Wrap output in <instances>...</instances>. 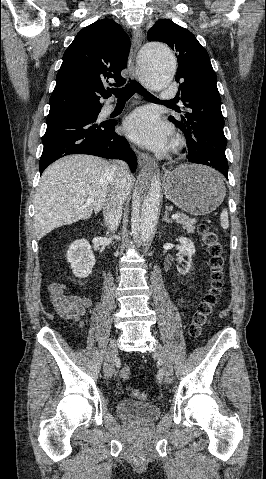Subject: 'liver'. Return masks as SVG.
<instances>
[{
	"mask_svg": "<svg viewBox=\"0 0 266 479\" xmlns=\"http://www.w3.org/2000/svg\"><path fill=\"white\" fill-rule=\"evenodd\" d=\"M110 163L92 155H70L50 165L42 174L34 200V228L38 240L52 230L86 220L98 213L111 182ZM133 177L125 188L131 192ZM92 198L93 203H87Z\"/></svg>",
	"mask_w": 266,
	"mask_h": 479,
	"instance_id": "6515ba94",
	"label": "liver"
}]
</instances>
